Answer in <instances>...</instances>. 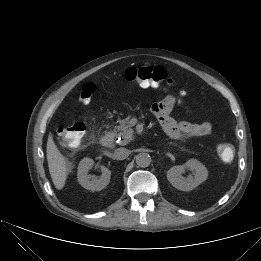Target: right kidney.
<instances>
[{
  "label": "right kidney",
  "mask_w": 261,
  "mask_h": 261,
  "mask_svg": "<svg viewBox=\"0 0 261 261\" xmlns=\"http://www.w3.org/2000/svg\"><path fill=\"white\" fill-rule=\"evenodd\" d=\"M94 166V161L91 158H84L80 161L78 166V181L79 184L85 189L91 191H100L104 189L110 182L111 171L104 167L96 165V167H100L101 176L99 178H92L88 172Z\"/></svg>",
  "instance_id": "ca27d5eb"
}]
</instances>
